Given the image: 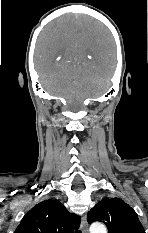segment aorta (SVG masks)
Here are the masks:
<instances>
[{
	"label": "aorta",
	"instance_id": "obj_1",
	"mask_svg": "<svg viewBox=\"0 0 148 233\" xmlns=\"http://www.w3.org/2000/svg\"><path fill=\"white\" fill-rule=\"evenodd\" d=\"M90 233H107V229L103 223L95 222L90 226Z\"/></svg>",
	"mask_w": 148,
	"mask_h": 233
}]
</instances>
